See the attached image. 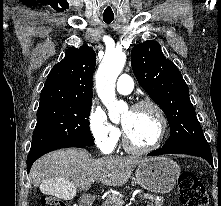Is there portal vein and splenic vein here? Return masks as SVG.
Listing matches in <instances>:
<instances>
[{"instance_id":"obj_1","label":"portal vein and splenic vein","mask_w":221,"mask_h":206,"mask_svg":"<svg viewBox=\"0 0 221 206\" xmlns=\"http://www.w3.org/2000/svg\"><path fill=\"white\" fill-rule=\"evenodd\" d=\"M145 198L152 199V196L146 195Z\"/></svg>"}]
</instances>
